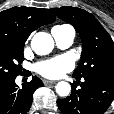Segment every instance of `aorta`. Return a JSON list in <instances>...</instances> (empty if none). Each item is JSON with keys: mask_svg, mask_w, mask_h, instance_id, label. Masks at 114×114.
Masks as SVG:
<instances>
[{"mask_svg": "<svg viewBox=\"0 0 114 114\" xmlns=\"http://www.w3.org/2000/svg\"><path fill=\"white\" fill-rule=\"evenodd\" d=\"M31 47L38 55L49 54L54 47V41L51 35L45 32L36 33L31 40ZM56 92L59 96H68L71 91V86L68 82L61 81L56 85Z\"/></svg>", "mask_w": 114, "mask_h": 114, "instance_id": "762f6f07", "label": "aorta"}]
</instances>
